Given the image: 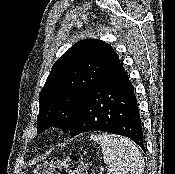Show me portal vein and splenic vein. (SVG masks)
<instances>
[{
	"instance_id": "1",
	"label": "portal vein and splenic vein",
	"mask_w": 175,
	"mask_h": 174,
	"mask_svg": "<svg viewBox=\"0 0 175 174\" xmlns=\"http://www.w3.org/2000/svg\"><path fill=\"white\" fill-rule=\"evenodd\" d=\"M100 170H101V171H104V169H103V168H101Z\"/></svg>"
}]
</instances>
